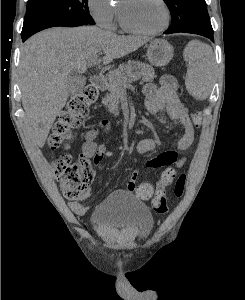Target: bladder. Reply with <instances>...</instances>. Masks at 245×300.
<instances>
[{
	"label": "bladder",
	"instance_id": "31cf9c89",
	"mask_svg": "<svg viewBox=\"0 0 245 300\" xmlns=\"http://www.w3.org/2000/svg\"><path fill=\"white\" fill-rule=\"evenodd\" d=\"M93 229L106 237L117 230H127L136 241H144L154 227L148 207L134 195L116 191L99 203L90 216Z\"/></svg>",
	"mask_w": 245,
	"mask_h": 300
}]
</instances>
